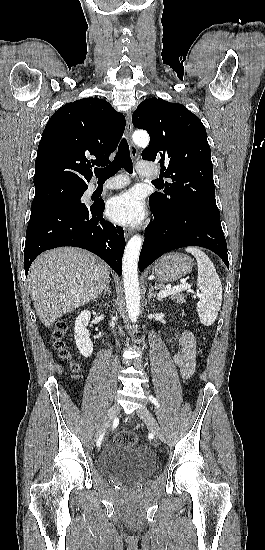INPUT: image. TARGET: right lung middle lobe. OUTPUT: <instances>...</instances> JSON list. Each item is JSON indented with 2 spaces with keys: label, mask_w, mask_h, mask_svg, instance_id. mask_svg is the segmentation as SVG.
<instances>
[{
  "label": "right lung middle lobe",
  "mask_w": 265,
  "mask_h": 550,
  "mask_svg": "<svg viewBox=\"0 0 265 550\" xmlns=\"http://www.w3.org/2000/svg\"><path fill=\"white\" fill-rule=\"evenodd\" d=\"M86 189H76L63 185H47L35 188L31 214L59 207H83L80 201Z\"/></svg>",
  "instance_id": "obj_1"
}]
</instances>
